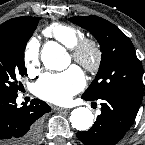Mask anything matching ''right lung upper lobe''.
<instances>
[{
    "label": "right lung upper lobe",
    "instance_id": "cb5924a9",
    "mask_svg": "<svg viewBox=\"0 0 145 145\" xmlns=\"http://www.w3.org/2000/svg\"><path fill=\"white\" fill-rule=\"evenodd\" d=\"M39 17H17L0 25V35L12 34L29 25L33 19Z\"/></svg>",
    "mask_w": 145,
    "mask_h": 145
}]
</instances>
